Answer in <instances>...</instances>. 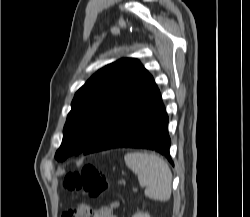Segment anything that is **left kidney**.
I'll use <instances>...</instances> for the list:
<instances>
[{"instance_id":"left-kidney-1","label":"left kidney","mask_w":250,"mask_h":217,"mask_svg":"<svg viewBox=\"0 0 250 217\" xmlns=\"http://www.w3.org/2000/svg\"><path fill=\"white\" fill-rule=\"evenodd\" d=\"M133 217H150V215L147 213L139 212V213H136L135 215H133Z\"/></svg>"}]
</instances>
